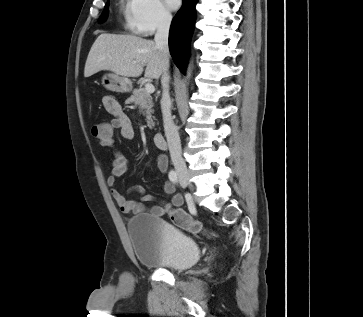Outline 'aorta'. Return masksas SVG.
<instances>
[{"mask_svg": "<svg viewBox=\"0 0 363 317\" xmlns=\"http://www.w3.org/2000/svg\"><path fill=\"white\" fill-rule=\"evenodd\" d=\"M189 76H190V69H188L187 71V78H189Z\"/></svg>", "mask_w": 363, "mask_h": 317, "instance_id": "762f6f07", "label": "aorta"}]
</instances>
